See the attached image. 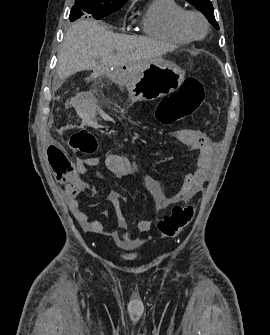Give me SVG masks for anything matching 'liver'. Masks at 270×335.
Listing matches in <instances>:
<instances>
[{
  "label": "liver",
  "mask_w": 270,
  "mask_h": 335,
  "mask_svg": "<svg viewBox=\"0 0 270 335\" xmlns=\"http://www.w3.org/2000/svg\"><path fill=\"white\" fill-rule=\"evenodd\" d=\"M153 38L114 34L97 22L78 20L68 28L58 54V76L69 78L82 70L110 72L111 68H129V78H137L153 58L172 50ZM100 58L101 66H96Z\"/></svg>",
  "instance_id": "obj_1"
}]
</instances>
